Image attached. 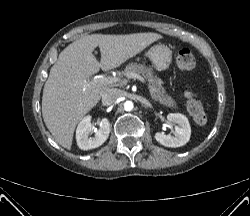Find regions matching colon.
I'll use <instances>...</instances> for the list:
<instances>
[{
    "instance_id": "5ec220e1",
    "label": "colon",
    "mask_w": 250,
    "mask_h": 216,
    "mask_svg": "<svg viewBox=\"0 0 250 216\" xmlns=\"http://www.w3.org/2000/svg\"><path fill=\"white\" fill-rule=\"evenodd\" d=\"M176 63L182 72H190L194 69L196 61L189 49L181 48L177 54ZM185 97L187 99V110L193 120L199 125L205 124L207 122V114L192 84H188L185 87Z\"/></svg>"
}]
</instances>
